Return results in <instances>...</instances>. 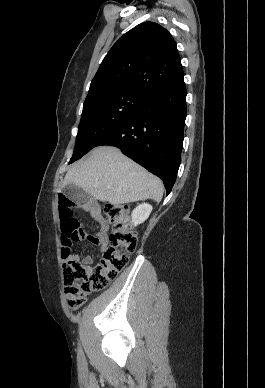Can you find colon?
Returning <instances> with one entry per match:
<instances>
[{
    "mask_svg": "<svg viewBox=\"0 0 265 388\" xmlns=\"http://www.w3.org/2000/svg\"><path fill=\"white\" fill-rule=\"evenodd\" d=\"M72 206L73 203L65 195L59 196L64 292L70 309H77L92 291L105 288L125 268L129 255L136 249L137 239L127 206L107 203L104 205V213L113 226V232L108 238L109 246L99 264H83L71 255L72 243L87 237L73 216Z\"/></svg>",
    "mask_w": 265,
    "mask_h": 388,
    "instance_id": "colon-1",
    "label": "colon"
}]
</instances>
